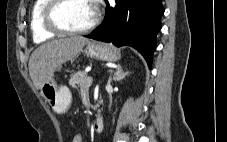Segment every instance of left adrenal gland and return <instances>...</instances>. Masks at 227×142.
<instances>
[{
	"label": "left adrenal gland",
	"instance_id": "a2214340",
	"mask_svg": "<svg viewBox=\"0 0 227 142\" xmlns=\"http://www.w3.org/2000/svg\"><path fill=\"white\" fill-rule=\"evenodd\" d=\"M128 74H129V72H124L122 69V66L119 65L114 73L113 80L120 81V80L124 79Z\"/></svg>",
	"mask_w": 227,
	"mask_h": 142
}]
</instances>
